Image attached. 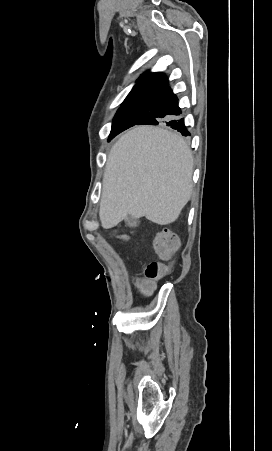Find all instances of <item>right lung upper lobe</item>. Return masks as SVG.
Instances as JSON below:
<instances>
[{
    "mask_svg": "<svg viewBox=\"0 0 272 451\" xmlns=\"http://www.w3.org/2000/svg\"><path fill=\"white\" fill-rule=\"evenodd\" d=\"M168 86V81L162 73H145L138 80L125 100L154 98Z\"/></svg>",
    "mask_w": 272,
    "mask_h": 451,
    "instance_id": "cb5924a9",
    "label": "right lung upper lobe"
}]
</instances>
